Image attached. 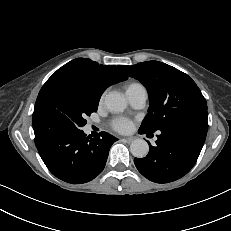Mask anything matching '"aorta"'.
<instances>
[{
    "mask_svg": "<svg viewBox=\"0 0 231 231\" xmlns=\"http://www.w3.org/2000/svg\"><path fill=\"white\" fill-rule=\"evenodd\" d=\"M107 109L113 113L122 112L126 106V100L118 93L111 92L105 97ZM130 151L136 158H144L149 152V145L143 139H136L130 145Z\"/></svg>",
    "mask_w": 231,
    "mask_h": 231,
    "instance_id": "1",
    "label": "aorta"
}]
</instances>
